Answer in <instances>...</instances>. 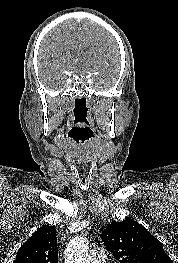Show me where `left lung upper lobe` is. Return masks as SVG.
I'll return each mask as SVG.
<instances>
[{"label": "left lung upper lobe", "mask_w": 178, "mask_h": 263, "mask_svg": "<svg viewBox=\"0 0 178 263\" xmlns=\"http://www.w3.org/2000/svg\"><path fill=\"white\" fill-rule=\"evenodd\" d=\"M101 238L120 263H173L161 242L131 218L112 221Z\"/></svg>", "instance_id": "left-lung-upper-lobe-1"}]
</instances>
